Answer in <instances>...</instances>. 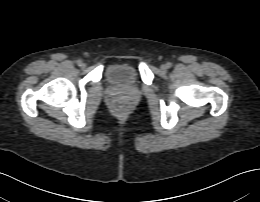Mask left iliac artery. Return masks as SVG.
<instances>
[{"label":"left iliac artery","mask_w":260,"mask_h":202,"mask_svg":"<svg viewBox=\"0 0 260 202\" xmlns=\"http://www.w3.org/2000/svg\"><path fill=\"white\" fill-rule=\"evenodd\" d=\"M171 66H172V64H171L170 62H167V63H166V67H167V68H171Z\"/></svg>","instance_id":"left-iliac-artery-1"}]
</instances>
